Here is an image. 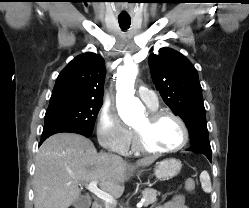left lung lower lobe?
<instances>
[{
	"label": "left lung lower lobe",
	"mask_w": 249,
	"mask_h": 208,
	"mask_svg": "<svg viewBox=\"0 0 249 208\" xmlns=\"http://www.w3.org/2000/svg\"><path fill=\"white\" fill-rule=\"evenodd\" d=\"M187 151L204 154L211 162V153H212L211 147L209 148V147L197 144V145H192L189 149H187Z\"/></svg>",
	"instance_id": "left-lung-lower-lobe-1"
}]
</instances>
